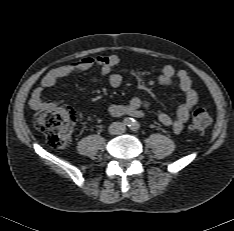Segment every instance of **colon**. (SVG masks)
I'll return each instance as SVG.
<instances>
[{
  "label": "colon",
  "mask_w": 234,
  "mask_h": 231,
  "mask_svg": "<svg viewBox=\"0 0 234 231\" xmlns=\"http://www.w3.org/2000/svg\"><path fill=\"white\" fill-rule=\"evenodd\" d=\"M77 120L76 112L70 107L41 110L34 117L36 128L44 133L52 148L64 149L70 144V134ZM207 109L199 107L192 113V127L204 132L211 124Z\"/></svg>",
  "instance_id": "5ec220e1"
}]
</instances>
